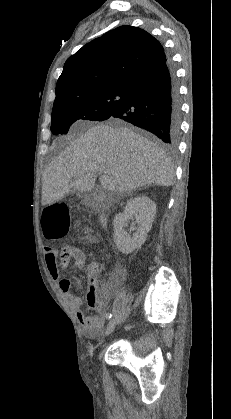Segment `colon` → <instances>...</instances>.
<instances>
[{"mask_svg": "<svg viewBox=\"0 0 231 419\" xmlns=\"http://www.w3.org/2000/svg\"><path fill=\"white\" fill-rule=\"evenodd\" d=\"M43 225L49 236L59 237L66 234L70 229V213L67 205L58 203L47 207L43 212ZM91 283L94 285L93 279Z\"/></svg>", "mask_w": 231, "mask_h": 419, "instance_id": "5ec220e1", "label": "colon"}]
</instances>
